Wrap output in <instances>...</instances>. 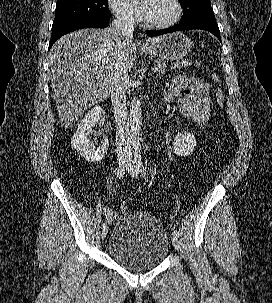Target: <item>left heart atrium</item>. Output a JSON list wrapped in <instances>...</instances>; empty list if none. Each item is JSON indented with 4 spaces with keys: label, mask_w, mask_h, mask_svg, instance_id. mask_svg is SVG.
Listing matches in <instances>:
<instances>
[{
    "label": "left heart atrium",
    "mask_w": 272,
    "mask_h": 303,
    "mask_svg": "<svg viewBox=\"0 0 272 303\" xmlns=\"http://www.w3.org/2000/svg\"><path fill=\"white\" fill-rule=\"evenodd\" d=\"M148 12V0H142L138 6V13L140 16L145 17Z\"/></svg>",
    "instance_id": "39dd6f15"
}]
</instances>
